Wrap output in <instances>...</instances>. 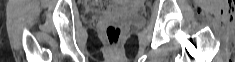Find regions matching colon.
I'll return each mask as SVG.
<instances>
[{
	"label": "colon",
	"instance_id": "colon-1",
	"mask_svg": "<svg viewBox=\"0 0 235 62\" xmlns=\"http://www.w3.org/2000/svg\"><path fill=\"white\" fill-rule=\"evenodd\" d=\"M100 8L105 9V6H100ZM122 30L118 25H109L106 28V37L111 46H116L120 40Z\"/></svg>",
	"mask_w": 235,
	"mask_h": 62
}]
</instances>
